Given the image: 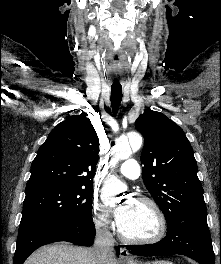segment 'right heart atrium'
Segmentation results:
<instances>
[{
	"mask_svg": "<svg viewBox=\"0 0 221 264\" xmlns=\"http://www.w3.org/2000/svg\"><path fill=\"white\" fill-rule=\"evenodd\" d=\"M91 214L97 230L108 232L113 228L108 210L99 204L96 199H93L91 202Z\"/></svg>",
	"mask_w": 221,
	"mask_h": 264,
	"instance_id": "d8ad5b80",
	"label": "right heart atrium"
}]
</instances>
